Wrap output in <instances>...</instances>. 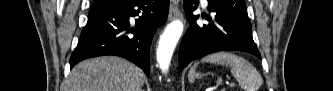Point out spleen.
<instances>
[{
	"instance_id": "obj_1",
	"label": "spleen",
	"mask_w": 333,
	"mask_h": 91,
	"mask_svg": "<svg viewBox=\"0 0 333 91\" xmlns=\"http://www.w3.org/2000/svg\"><path fill=\"white\" fill-rule=\"evenodd\" d=\"M201 62H209L222 66H229L232 75L238 81L244 91H258L263 84V79L254 66L246 59L229 52H217L205 56ZM199 62L195 63L189 70L188 79L194 82L196 68Z\"/></svg>"
}]
</instances>
